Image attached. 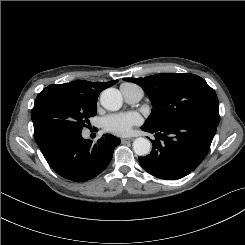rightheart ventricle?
I'll return each instance as SVG.
<instances>
[{
	"mask_svg": "<svg viewBox=\"0 0 245 245\" xmlns=\"http://www.w3.org/2000/svg\"><path fill=\"white\" fill-rule=\"evenodd\" d=\"M131 85H133V84H130V83H124V84H122L121 87H127V86H131Z\"/></svg>",
	"mask_w": 245,
	"mask_h": 245,
	"instance_id": "1",
	"label": "right heart ventricle"
}]
</instances>
